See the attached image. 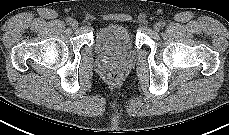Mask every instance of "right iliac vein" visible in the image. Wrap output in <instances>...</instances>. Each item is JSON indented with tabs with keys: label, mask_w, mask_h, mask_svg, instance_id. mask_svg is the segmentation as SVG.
<instances>
[{
	"label": "right iliac vein",
	"mask_w": 229,
	"mask_h": 135,
	"mask_svg": "<svg viewBox=\"0 0 229 135\" xmlns=\"http://www.w3.org/2000/svg\"><path fill=\"white\" fill-rule=\"evenodd\" d=\"M71 25L73 28H77L79 24L77 21L74 20V21H72Z\"/></svg>",
	"instance_id": "63e3f726"
}]
</instances>
